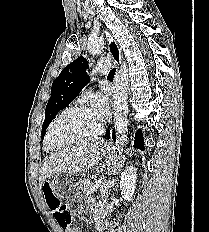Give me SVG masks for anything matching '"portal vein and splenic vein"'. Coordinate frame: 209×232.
Segmentation results:
<instances>
[{"label":"portal vein and splenic vein","mask_w":209,"mask_h":232,"mask_svg":"<svg viewBox=\"0 0 209 232\" xmlns=\"http://www.w3.org/2000/svg\"><path fill=\"white\" fill-rule=\"evenodd\" d=\"M100 186V181H97L90 189L89 192H87V195H90L91 193L95 192L98 187Z\"/></svg>","instance_id":"18ae733b"}]
</instances>
